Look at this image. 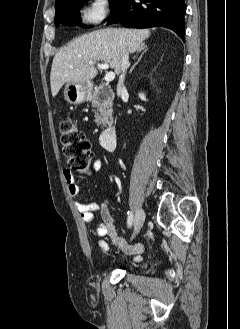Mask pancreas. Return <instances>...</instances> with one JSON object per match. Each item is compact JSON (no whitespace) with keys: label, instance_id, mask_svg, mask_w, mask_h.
Wrapping results in <instances>:
<instances>
[{"label":"pancreas","instance_id":"cf45deb5","mask_svg":"<svg viewBox=\"0 0 240 329\" xmlns=\"http://www.w3.org/2000/svg\"><path fill=\"white\" fill-rule=\"evenodd\" d=\"M90 102L97 109L95 111V123L106 127L112 118L113 99L107 95V91L98 88L93 92Z\"/></svg>","mask_w":240,"mask_h":329}]
</instances>
